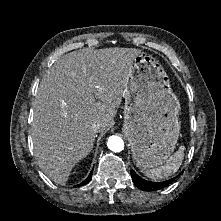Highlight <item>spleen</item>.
Returning a JSON list of instances; mask_svg holds the SVG:
<instances>
[{
    "label": "spleen",
    "instance_id": "1",
    "mask_svg": "<svg viewBox=\"0 0 221 221\" xmlns=\"http://www.w3.org/2000/svg\"><path fill=\"white\" fill-rule=\"evenodd\" d=\"M184 146H180L172 156H170L164 165L156 168L144 170V174L152 179H164L178 171L184 157Z\"/></svg>",
    "mask_w": 221,
    "mask_h": 221
}]
</instances>
